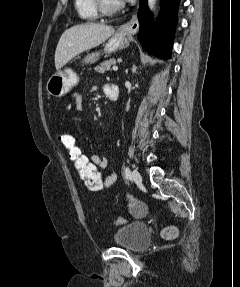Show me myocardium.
<instances>
[{"label":"myocardium","mask_w":240,"mask_h":287,"mask_svg":"<svg viewBox=\"0 0 240 287\" xmlns=\"http://www.w3.org/2000/svg\"><path fill=\"white\" fill-rule=\"evenodd\" d=\"M94 3L98 12L103 15H113L119 12L123 7L121 2L112 6L108 5L106 0H94Z\"/></svg>","instance_id":"myocardium-1"}]
</instances>
